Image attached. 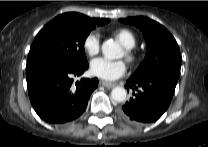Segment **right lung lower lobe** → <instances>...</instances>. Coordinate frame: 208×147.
Instances as JSON below:
<instances>
[{"label": "right lung lower lobe", "instance_id": "98d812e1", "mask_svg": "<svg viewBox=\"0 0 208 147\" xmlns=\"http://www.w3.org/2000/svg\"><path fill=\"white\" fill-rule=\"evenodd\" d=\"M88 68L50 60L26 66V80L31 104L46 122L62 124L78 118L86 109L98 79L83 78L73 83Z\"/></svg>", "mask_w": 208, "mask_h": 147}]
</instances>
